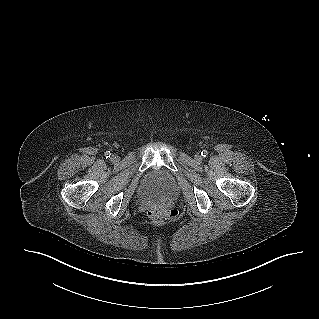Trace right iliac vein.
<instances>
[{"mask_svg": "<svg viewBox=\"0 0 319 319\" xmlns=\"http://www.w3.org/2000/svg\"><path fill=\"white\" fill-rule=\"evenodd\" d=\"M111 160H112V162L116 163V162L119 161V156L114 154V155L111 156Z\"/></svg>", "mask_w": 319, "mask_h": 319, "instance_id": "63e3f726", "label": "right iliac vein"}]
</instances>
